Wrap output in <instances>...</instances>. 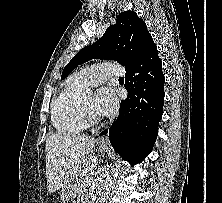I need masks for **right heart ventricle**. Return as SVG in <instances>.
<instances>
[{
    "label": "right heart ventricle",
    "instance_id": "e07e8e85",
    "mask_svg": "<svg viewBox=\"0 0 222 203\" xmlns=\"http://www.w3.org/2000/svg\"><path fill=\"white\" fill-rule=\"evenodd\" d=\"M84 86L69 78L51 106V119L56 130L63 134L75 135L83 132L87 124L81 111Z\"/></svg>",
    "mask_w": 222,
    "mask_h": 203
}]
</instances>
